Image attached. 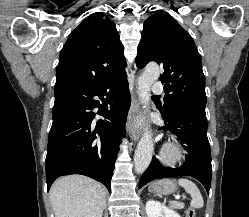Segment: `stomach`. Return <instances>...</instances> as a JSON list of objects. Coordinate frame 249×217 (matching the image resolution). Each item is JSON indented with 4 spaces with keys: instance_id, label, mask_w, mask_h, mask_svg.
I'll return each mask as SVG.
<instances>
[{
    "instance_id": "0dacf381",
    "label": "stomach",
    "mask_w": 249,
    "mask_h": 217,
    "mask_svg": "<svg viewBox=\"0 0 249 217\" xmlns=\"http://www.w3.org/2000/svg\"><path fill=\"white\" fill-rule=\"evenodd\" d=\"M176 190H177L176 184L169 179L156 181L149 186V191L161 195L172 194Z\"/></svg>"
}]
</instances>
